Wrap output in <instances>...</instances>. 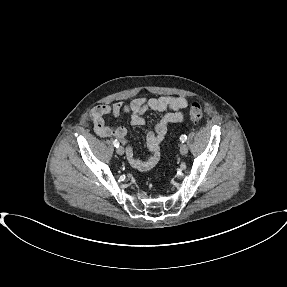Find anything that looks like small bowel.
<instances>
[{
    "label": "small bowel",
    "mask_w": 287,
    "mask_h": 287,
    "mask_svg": "<svg viewBox=\"0 0 287 287\" xmlns=\"http://www.w3.org/2000/svg\"><path fill=\"white\" fill-rule=\"evenodd\" d=\"M186 105L187 100L180 96H161L150 99L138 97L130 104L115 102L111 105H100L91 111L90 116L94 124V131L98 136L119 139L126 148V157L130 165L139 171H147L153 168L159 160L160 145L167 133L168 124L177 123L183 119L182 110ZM149 110L163 112V114L154 129L147 134V146L150 155L146 160H141L134 155L127 137V129L107 125L104 117L129 114L132 125L144 126L146 121L142 115Z\"/></svg>",
    "instance_id": "small-bowel-1"
}]
</instances>
